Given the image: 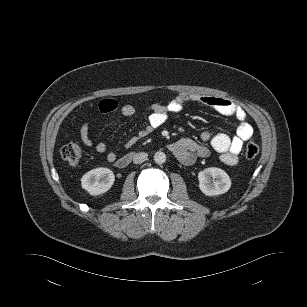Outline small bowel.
Returning a JSON list of instances; mask_svg holds the SVG:
<instances>
[{"instance_id":"obj_1","label":"small bowel","mask_w":307,"mask_h":307,"mask_svg":"<svg viewBox=\"0 0 307 307\" xmlns=\"http://www.w3.org/2000/svg\"><path fill=\"white\" fill-rule=\"evenodd\" d=\"M112 103H111V102ZM190 103H201L206 105L218 113L225 116H233L238 121L236 134L229 136L226 133H217L212 135L208 131L201 133V141L185 137L181 138L169 145V150L183 164H192L198 157H206L210 153V147L221 154V161L228 165L234 166L238 163V156L242 150L245 141L249 140L253 135V127L246 120L244 110L232 101L215 96L198 95L193 93H180L170 100L167 104L154 103L149 106V116L147 125L142 128L136 136L130 138L126 146H133L138 140L148 136L154 130L160 128L167 120L169 114L177 113ZM99 109L103 113H110L119 109L124 117H133L137 110L131 104H124L118 107V103L114 99L102 100L99 103ZM79 136L82 143L87 147L94 149L101 154H106V160L110 163H117V155L113 151H108L106 143L95 142L90 135V127L87 123L81 125Z\"/></svg>"}]
</instances>
